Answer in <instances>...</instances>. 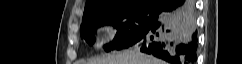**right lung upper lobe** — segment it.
<instances>
[{"label":"right lung upper lobe","instance_id":"1","mask_svg":"<svg viewBox=\"0 0 242 64\" xmlns=\"http://www.w3.org/2000/svg\"><path fill=\"white\" fill-rule=\"evenodd\" d=\"M162 0H87L83 19L90 16L138 7L158 9Z\"/></svg>","mask_w":242,"mask_h":64}]
</instances>
